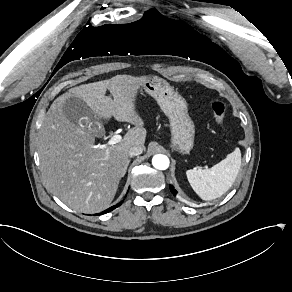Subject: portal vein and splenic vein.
I'll use <instances>...</instances> for the list:
<instances>
[{
  "mask_svg": "<svg viewBox=\"0 0 292 292\" xmlns=\"http://www.w3.org/2000/svg\"><path fill=\"white\" fill-rule=\"evenodd\" d=\"M122 137L121 135L115 134L111 137V139L108 141L109 145H114L116 143H119L121 141Z\"/></svg>",
  "mask_w": 292,
  "mask_h": 292,
  "instance_id": "1",
  "label": "portal vein and splenic vein"
}]
</instances>
